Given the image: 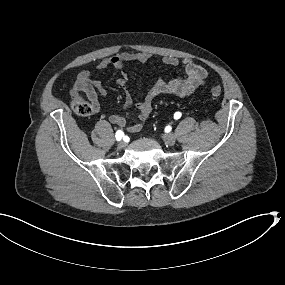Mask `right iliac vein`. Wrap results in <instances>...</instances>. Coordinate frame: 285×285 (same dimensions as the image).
<instances>
[{"instance_id": "1", "label": "right iliac vein", "mask_w": 285, "mask_h": 285, "mask_svg": "<svg viewBox=\"0 0 285 285\" xmlns=\"http://www.w3.org/2000/svg\"><path fill=\"white\" fill-rule=\"evenodd\" d=\"M125 147H126V142L121 141V142L118 143V148L119 149H124Z\"/></svg>"}]
</instances>
